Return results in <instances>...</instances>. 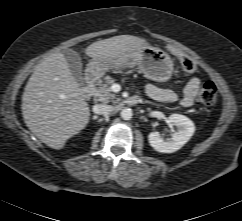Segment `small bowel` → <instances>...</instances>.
I'll return each instance as SVG.
<instances>
[{
	"label": "small bowel",
	"instance_id": "obj_1",
	"mask_svg": "<svg viewBox=\"0 0 242 221\" xmlns=\"http://www.w3.org/2000/svg\"><path fill=\"white\" fill-rule=\"evenodd\" d=\"M200 84L201 82L199 78H190L185 86L184 93L181 98H179L173 90L160 88L154 84H147L145 90L146 93L155 100L166 103L178 101L181 106L189 108L194 104Z\"/></svg>",
	"mask_w": 242,
	"mask_h": 221
}]
</instances>
